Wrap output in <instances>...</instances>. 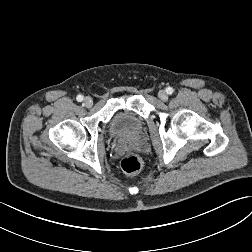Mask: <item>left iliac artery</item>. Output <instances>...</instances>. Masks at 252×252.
<instances>
[{"label":"left iliac artery","instance_id":"1","mask_svg":"<svg viewBox=\"0 0 252 252\" xmlns=\"http://www.w3.org/2000/svg\"><path fill=\"white\" fill-rule=\"evenodd\" d=\"M166 92H167L168 94H172V93H173V88H172V87L166 88Z\"/></svg>","mask_w":252,"mask_h":252}]
</instances>
